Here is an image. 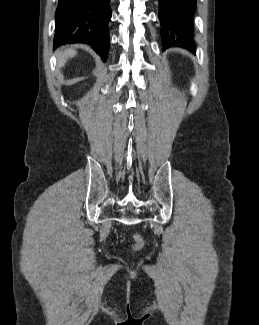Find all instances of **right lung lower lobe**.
Returning a JSON list of instances; mask_svg holds the SVG:
<instances>
[{"label": "right lung lower lobe", "instance_id": "right-lung-lower-lobe-1", "mask_svg": "<svg viewBox=\"0 0 259 325\" xmlns=\"http://www.w3.org/2000/svg\"><path fill=\"white\" fill-rule=\"evenodd\" d=\"M110 0H59L54 46L90 45L106 61L109 51Z\"/></svg>", "mask_w": 259, "mask_h": 325}]
</instances>
